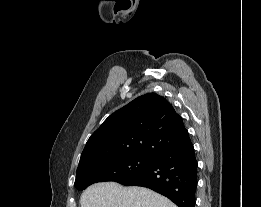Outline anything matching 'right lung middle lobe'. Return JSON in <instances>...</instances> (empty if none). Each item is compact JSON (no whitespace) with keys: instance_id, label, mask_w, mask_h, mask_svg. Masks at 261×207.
Here are the masks:
<instances>
[{"instance_id":"right-lung-middle-lobe-1","label":"right lung middle lobe","mask_w":261,"mask_h":207,"mask_svg":"<svg viewBox=\"0 0 261 207\" xmlns=\"http://www.w3.org/2000/svg\"><path fill=\"white\" fill-rule=\"evenodd\" d=\"M152 162L153 158L149 156L129 155L84 165L77 168L75 187L84 190L97 182H119L144 170Z\"/></svg>"}]
</instances>
